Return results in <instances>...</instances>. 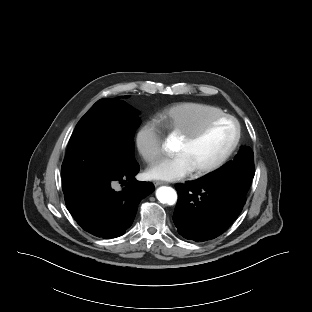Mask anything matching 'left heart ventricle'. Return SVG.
I'll use <instances>...</instances> for the list:
<instances>
[{
    "instance_id": "1",
    "label": "left heart ventricle",
    "mask_w": 312,
    "mask_h": 312,
    "mask_svg": "<svg viewBox=\"0 0 312 312\" xmlns=\"http://www.w3.org/2000/svg\"><path fill=\"white\" fill-rule=\"evenodd\" d=\"M236 136V126L231 120H220L195 142L180 140L176 153H183L194 170L203 168L219 159L231 146Z\"/></svg>"
}]
</instances>
